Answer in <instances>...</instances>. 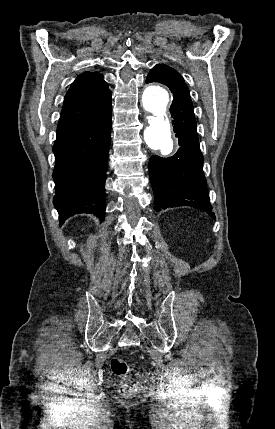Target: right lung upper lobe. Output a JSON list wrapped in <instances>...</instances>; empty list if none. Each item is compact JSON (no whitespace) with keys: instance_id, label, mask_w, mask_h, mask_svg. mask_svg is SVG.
<instances>
[{"instance_id":"obj_1","label":"right lung upper lobe","mask_w":275,"mask_h":429,"mask_svg":"<svg viewBox=\"0 0 275 429\" xmlns=\"http://www.w3.org/2000/svg\"><path fill=\"white\" fill-rule=\"evenodd\" d=\"M112 110L111 93L98 72H84L66 93L57 130L78 126Z\"/></svg>"}]
</instances>
